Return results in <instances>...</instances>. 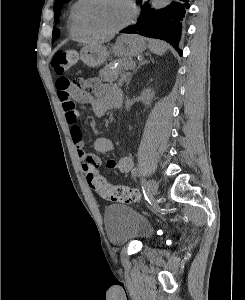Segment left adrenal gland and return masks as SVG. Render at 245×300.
<instances>
[{
  "instance_id": "1",
  "label": "left adrenal gland",
  "mask_w": 245,
  "mask_h": 300,
  "mask_svg": "<svg viewBox=\"0 0 245 300\" xmlns=\"http://www.w3.org/2000/svg\"><path fill=\"white\" fill-rule=\"evenodd\" d=\"M146 63H148V61H141V62L139 63L138 67H137V68L133 71V73L130 75V77H129L128 81H127V87H128V85H129V83H130V81H131L133 75L138 71V69H139L142 65H144V64H146Z\"/></svg>"
}]
</instances>
